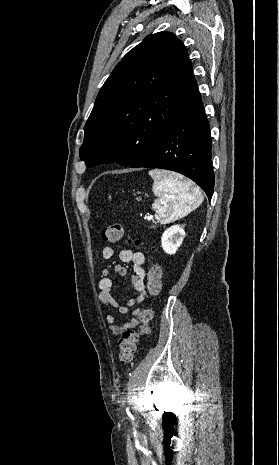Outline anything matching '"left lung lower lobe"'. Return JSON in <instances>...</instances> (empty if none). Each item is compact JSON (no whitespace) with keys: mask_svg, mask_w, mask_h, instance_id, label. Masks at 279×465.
Here are the masks:
<instances>
[{"mask_svg":"<svg viewBox=\"0 0 279 465\" xmlns=\"http://www.w3.org/2000/svg\"><path fill=\"white\" fill-rule=\"evenodd\" d=\"M211 156L209 122L195 82L179 116L130 167H153L181 173L197 183L210 200L214 189Z\"/></svg>","mask_w":279,"mask_h":465,"instance_id":"0a47b994","label":"left lung lower lobe"}]
</instances>
